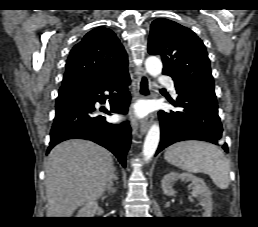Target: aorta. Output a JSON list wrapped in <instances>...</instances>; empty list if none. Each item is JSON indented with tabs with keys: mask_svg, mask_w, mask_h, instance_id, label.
Here are the masks:
<instances>
[{
	"mask_svg": "<svg viewBox=\"0 0 258 227\" xmlns=\"http://www.w3.org/2000/svg\"><path fill=\"white\" fill-rule=\"evenodd\" d=\"M146 71L153 77H157L162 72V62L155 56L148 57L145 61ZM160 140V129L158 124H153L144 141L143 156L148 161L154 155Z\"/></svg>",
	"mask_w": 258,
	"mask_h": 227,
	"instance_id": "762f6f07",
	"label": "aorta"
}]
</instances>
